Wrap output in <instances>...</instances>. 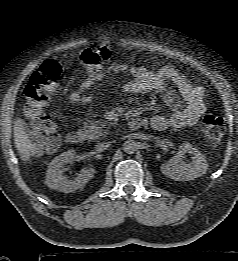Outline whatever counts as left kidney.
<instances>
[{
    "mask_svg": "<svg viewBox=\"0 0 238 261\" xmlns=\"http://www.w3.org/2000/svg\"><path fill=\"white\" fill-rule=\"evenodd\" d=\"M185 153L192 154L193 157L190 163L183 160ZM207 169L208 164L204 155L187 142L179 147V151L174 157L161 166L162 173L176 181L193 180L205 174Z\"/></svg>",
    "mask_w": 238,
    "mask_h": 261,
    "instance_id": "obj_1",
    "label": "left kidney"
}]
</instances>
